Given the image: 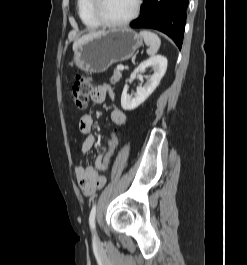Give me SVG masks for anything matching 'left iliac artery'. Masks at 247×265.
Segmentation results:
<instances>
[{
  "mask_svg": "<svg viewBox=\"0 0 247 265\" xmlns=\"http://www.w3.org/2000/svg\"><path fill=\"white\" fill-rule=\"evenodd\" d=\"M95 214H96V204L93 205L89 216V224L93 231L95 229Z\"/></svg>",
  "mask_w": 247,
  "mask_h": 265,
  "instance_id": "1",
  "label": "left iliac artery"
}]
</instances>
